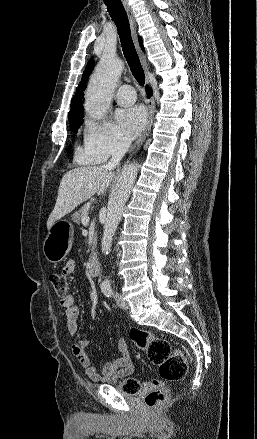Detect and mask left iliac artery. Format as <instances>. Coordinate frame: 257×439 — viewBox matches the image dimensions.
<instances>
[{
	"label": "left iliac artery",
	"mask_w": 257,
	"mask_h": 439,
	"mask_svg": "<svg viewBox=\"0 0 257 439\" xmlns=\"http://www.w3.org/2000/svg\"><path fill=\"white\" fill-rule=\"evenodd\" d=\"M101 290L107 297H111L113 294L110 282H103L101 285Z\"/></svg>",
	"instance_id": "44dca946"
}]
</instances>
